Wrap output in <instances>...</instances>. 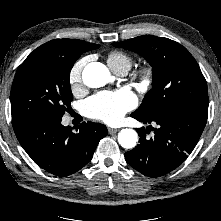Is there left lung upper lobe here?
<instances>
[{"instance_id":"5c2ea615","label":"left lung upper lobe","mask_w":221,"mask_h":221,"mask_svg":"<svg viewBox=\"0 0 221 221\" xmlns=\"http://www.w3.org/2000/svg\"><path fill=\"white\" fill-rule=\"evenodd\" d=\"M112 45L139 53L152 66L153 88L133 113L152 117L187 107L208 112L206 80L185 47L168 38L152 35Z\"/></svg>"}]
</instances>
